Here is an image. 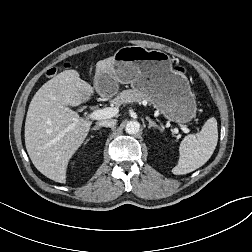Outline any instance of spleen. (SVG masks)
<instances>
[{
    "instance_id": "spleen-1",
    "label": "spleen",
    "mask_w": 252,
    "mask_h": 252,
    "mask_svg": "<svg viewBox=\"0 0 252 252\" xmlns=\"http://www.w3.org/2000/svg\"><path fill=\"white\" fill-rule=\"evenodd\" d=\"M218 141L217 120L209 118L197 135H187L179 146L178 164L173 174L183 175L203 166L212 156Z\"/></svg>"
}]
</instances>
